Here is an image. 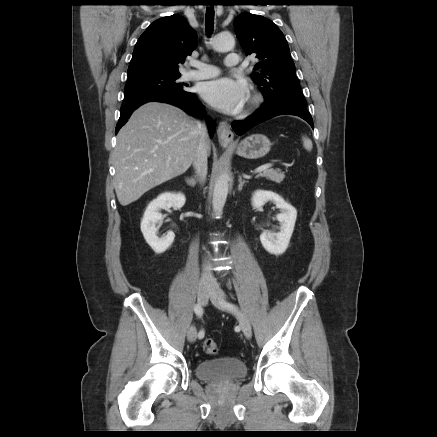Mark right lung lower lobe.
Here are the masks:
<instances>
[{"label": "right lung lower lobe", "instance_id": "right-lung-lower-lobe-1", "mask_svg": "<svg viewBox=\"0 0 437 437\" xmlns=\"http://www.w3.org/2000/svg\"><path fill=\"white\" fill-rule=\"evenodd\" d=\"M164 102L168 104H172L177 106L193 116H202L204 114L202 103L197 99L194 93L188 92L185 94L182 93H159L147 95L135 100L127 101L120 109V118L116 125V134L119 129L127 122L131 113L138 108L140 105L151 102ZM216 125L214 123H209V131L210 135L214 134Z\"/></svg>", "mask_w": 437, "mask_h": 437}]
</instances>
